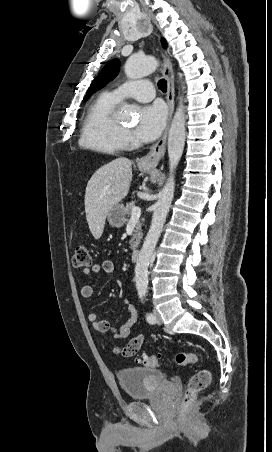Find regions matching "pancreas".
Wrapping results in <instances>:
<instances>
[{
  "label": "pancreas",
  "instance_id": "cf45deb5",
  "mask_svg": "<svg viewBox=\"0 0 272 452\" xmlns=\"http://www.w3.org/2000/svg\"><path fill=\"white\" fill-rule=\"evenodd\" d=\"M133 207H135L134 201H131L126 204V207H125V214L127 215L126 221H128V218L131 216ZM142 221H143V219L136 223L133 236H132L131 240L129 241L130 249H132V250H134L138 247V245L140 244V240L142 239V236H143Z\"/></svg>",
  "mask_w": 272,
  "mask_h": 452
}]
</instances>
